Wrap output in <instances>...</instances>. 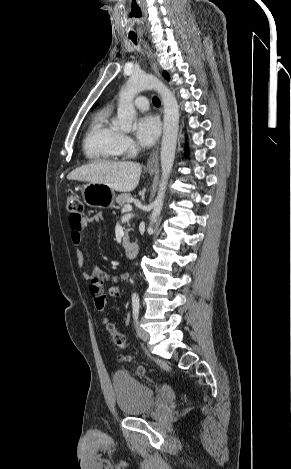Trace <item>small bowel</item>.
Here are the masks:
<instances>
[{
	"mask_svg": "<svg viewBox=\"0 0 291 469\" xmlns=\"http://www.w3.org/2000/svg\"><path fill=\"white\" fill-rule=\"evenodd\" d=\"M102 216L100 214H96L91 217H69V226H70V234L71 240L74 245L79 246L83 240V231L84 229L93 222L100 221ZM76 257L78 266L82 267L84 265V256L83 252L78 248L76 250ZM84 277L89 281V288L92 297L94 298L99 293H103V283L105 280L108 279L107 273L100 267L94 266L90 271H86L84 273ZM127 275H122L121 280H126ZM108 293L111 297L118 298L122 295L123 289L118 285H112ZM104 294V293H103Z\"/></svg>",
	"mask_w": 291,
	"mask_h": 469,
	"instance_id": "c3829d8e",
	"label": "small bowel"
}]
</instances>
